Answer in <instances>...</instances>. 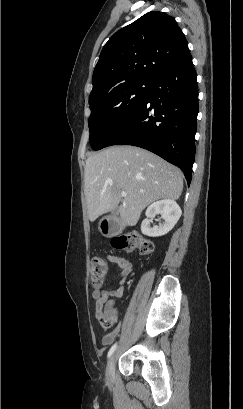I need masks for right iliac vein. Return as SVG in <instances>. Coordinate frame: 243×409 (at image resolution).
<instances>
[{
    "instance_id": "1",
    "label": "right iliac vein",
    "mask_w": 243,
    "mask_h": 409,
    "mask_svg": "<svg viewBox=\"0 0 243 409\" xmlns=\"http://www.w3.org/2000/svg\"><path fill=\"white\" fill-rule=\"evenodd\" d=\"M114 367H115V355H112L109 358L107 367H106V376L109 381L113 379Z\"/></svg>"
}]
</instances>
